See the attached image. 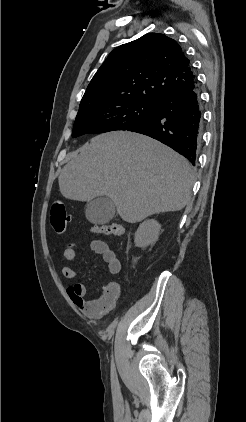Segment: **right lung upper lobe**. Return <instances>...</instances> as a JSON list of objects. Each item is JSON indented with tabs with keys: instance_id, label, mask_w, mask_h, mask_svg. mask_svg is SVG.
Masks as SVG:
<instances>
[{
	"instance_id": "cb5924a9",
	"label": "right lung upper lobe",
	"mask_w": 246,
	"mask_h": 422,
	"mask_svg": "<svg viewBox=\"0 0 246 422\" xmlns=\"http://www.w3.org/2000/svg\"><path fill=\"white\" fill-rule=\"evenodd\" d=\"M196 84L190 60L181 46L164 34L148 33L109 54L79 107L121 97L156 102Z\"/></svg>"
}]
</instances>
